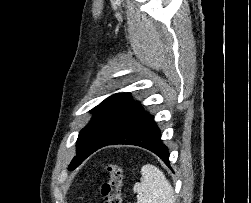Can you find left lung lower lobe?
<instances>
[{
	"label": "left lung lower lobe",
	"instance_id": "0a47b994",
	"mask_svg": "<svg viewBox=\"0 0 251 203\" xmlns=\"http://www.w3.org/2000/svg\"><path fill=\"white\" fill-rule=\"evenodd\" d=\"M112 144H128L143 147L155 153L170 167L168 148L162 143L161 132L154 121V117L148 112L142 114L98 149Z\"/></svg>",
	"mask_w": 251,
	"mask_h": 203
}]
</instances>
